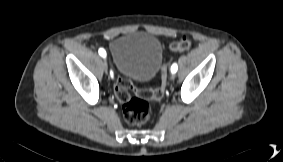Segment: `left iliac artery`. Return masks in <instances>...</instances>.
<instances>
[{"mask_svg": "<svg viewBox=\"0 0 283 162\" xmlns=\"http://www.w3.org/2000/svg\"><path fill=\"white\" fill-rule=\"evenodd\" d=\"M177 69H178V66H177L176 63H174V64L171 66V72H172V73H176Z\"/></svg>", "mask_w": 283, "mask_h": 162, "instance_id": "left-iliac-artery-1", "label": "left iliac artery"}]
</instances>
